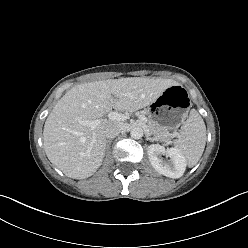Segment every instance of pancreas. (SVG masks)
<instances>
[{
  "instance_id": "obj_1",
  "label": "pancreas",
  "mask_w": 248,
  "mask_h": 248,
  "mask_svg": "<svg viewBox=\"0 0 248 248\" xmlns=\"http://www.w3.org/2000/svg\"><path fill=\"white\" fill-rule=\"evenodd\" d=\"M147 127L150 133L157 139L161 141H169L171 139V134L169 133L168 129L155 123L154 121L148 119L147 120Z\"/></svg>"
}]
</instances>
